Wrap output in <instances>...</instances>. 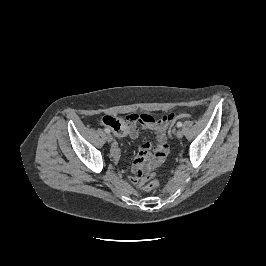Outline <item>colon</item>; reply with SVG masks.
I'll use <instances>...</instances> for the list:
<instances>
[{
    "label": "colon",
    "mask_w": 266,
    "mask_h": 266,
    "mask_svg": "<svg viewBox=\"0 0 266 266\" xmlns=\"http://www.w3.org/2000/svg\"><path fill=\"white\" fill-rule=\"evenodd\" d=\"M190 115L188 113H181L177 115L176 119H187ZM171 134V130L169 131ZM159 182L155 179V175L153 173L147 174L140 180V187L145 191H152L158 188Z\"/></svg>",
    "instance_id": "1"
}]
</instances>
